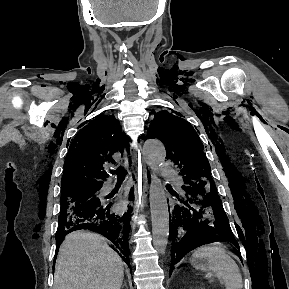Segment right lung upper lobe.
<instances>
[{"label":"right lung upper lobe","mask_w":289,"mask_h":289,"mask_svg":"<svg viewBox=\"0 0 289 289\" xmlns=\"http://www.w3.org/2000/svg\"><path fill=\"white\" fill-rule=\"evenodd\" d=\"M125 139L113 115H99L86 124L70 144L64 162L61 196L99 190L107 177L104 164L115 163L112 155L123 150Z\"/></svg>","instance_id":"cb5924a9"}]
</instances>
